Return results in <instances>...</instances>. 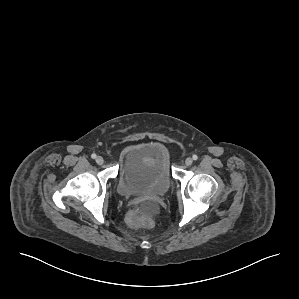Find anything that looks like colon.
I'll return each instance as SVG.
<instances>
[{"instance_id": "colon-1", "label": "colon", "mask_w": 299, "mask_h": 299, "mask_svg": "<svg viewBox=\"0 0 299 299\" xmlns=\"http://www.w3.org/2000/svg\"><path fill=\"white\" fill-rule=\"evenodd\" d=\"M127 223L132 227H152L153 220L150 216L143 214L139 209L131 210L126 217Z\"/></svg>"}]
</instances>
